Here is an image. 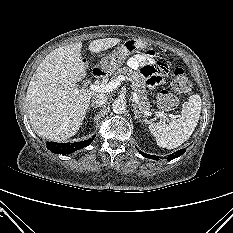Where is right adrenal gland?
<instances>
[{
	"label": "right adrenal gland",
	"mask_w": 233,
	"mask_h": 233,
	"mask_svg": "<svg viewBox=\"0 0 233 233\" xmlns=\"http://www.w3.org/2000/svg\"><path fill=\"white\" fill-rule=\"evenodd\" d=\"M99 106L98 105H95V104H90L89 106H88V108H87V112L90 110V108H93V109H96V108H98Z\"/></svg>",
	"instance_id": "1"
}]
</instances>
